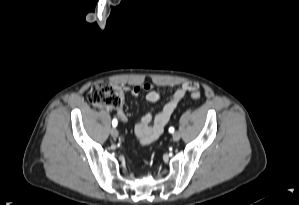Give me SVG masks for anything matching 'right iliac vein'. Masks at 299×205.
<instances>
[{"mask_svg":"<svg viewBox=\"0 0 299 205\" xmlns=\"http://www.w3.org/2000/svg\"><path fill=\"white\" fill-rule=\"evenodd\" d=\"M118 130L116 128L111 129V136L115 139L118 137Z\"/></svg>","mask_w":299,"mask_h":205,"instance_id":"obj_1","label":"right iliac vein"}]
</instances>
